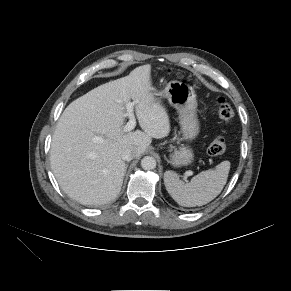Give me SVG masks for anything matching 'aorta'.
I'll use <instances>...</instances> for the list:
<instances>
[{"instance_id":"obj_1","label":"aorta","mask_w":291,"mask_h":291,"mask_svg":"<svg viewBox=\"0 0 291 291\" xmlns=\"http://www.w3.org/2000/svg\"><path fill=\"white\" fill-rule=\"evenodd\" d=\"M141 166L144 170H152L156 167V160L151 156H146L141 160Z\"/></svg>"}]
</instances>
